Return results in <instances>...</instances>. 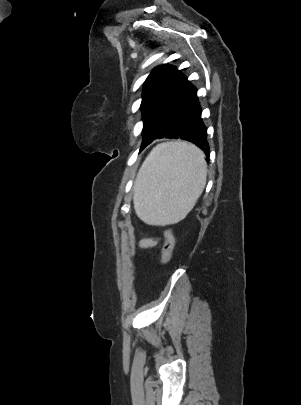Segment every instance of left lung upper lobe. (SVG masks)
I'll return each instance as SVG.
<instances>
[{"label": "left lung upper lobe", "mask_w": 301, "mask_h": 405, "mask_svg": "<svg viewBox=\"0 0 301 405\" xmlns=\"http://www.w3.org/2000/svg\"><path fill=\"white\" fill-rule=\"evenodd\" d=\"M188 85L187 78L174 66L160 65L153 69L143 87V138L159 129Z\"/></svg>", "instance_id": "obj_1"}]
</instances>
